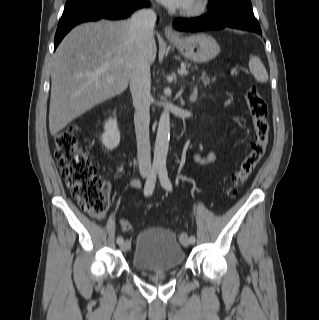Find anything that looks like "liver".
<instances>
[{
    "label": "liver",
    "instance_id": "6515ba94",
    "mask_svg": "<svg viewBox=\"0 0 319 320\" xmlns=\"http://www.w3.org/2000/svg\"><path fill=\"white\" fill-rule=\"evenodd\" d=\"M138 53L130 35L129 20H101L72 29L58 46L52 61L51 135L94 106L124 92ZM156 53L152 39L147 45L149 64L155 61Z\"/></svg>",
    "mask_w": 319,
    "mask_h": 320
}]
</instances>
